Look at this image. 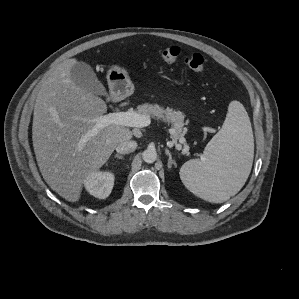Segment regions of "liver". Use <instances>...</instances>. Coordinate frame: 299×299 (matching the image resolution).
<instances>
[{"mask_svg": "<svg viewBox=\"0 0 299 299\" xmlns=\"http://www.w3.org/2000/svg\"><path fill=\"white\" fill-rule=\"evenodd\" d=\"M76 59H67L52 71L37 95L32 140L38 167L49 187L76 202L86 177L98 171L116 146L132 138L129 128L109 125L98 131L81 150L79 142L107 112L104 100L71 80Z\"/></svg>", "mask_w": 299, "mask_h": 299, "instance_id": "liver-1", "label": "liver"}]
</instances>
